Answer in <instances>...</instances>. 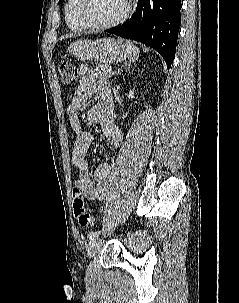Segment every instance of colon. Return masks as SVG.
<instances>
[{"mask_svg": "<svg viewBox=\"0 0 239 303\" xmlns=\"http://www.w3.org/2000/svg\"><path fill=\"white\" fill-rule=\"evenodd\" d=\"M59 72L62 83L65 85L73 84L78 78L77 69L72 63L68 61L60 63ZM72 198L74 216L77 219L79 225L84 228L92 227L94 225V218L85 208L82 192L75 188L73 190Z\"/></svg>", "mask_w": 239, "mask_h": 303, "instance_id": "5ec220e1", "label": "colon"}]
</instances>
